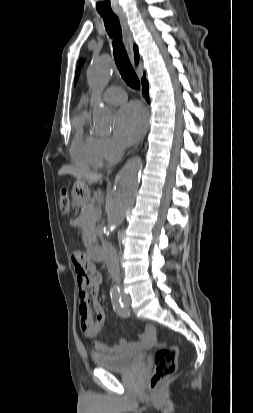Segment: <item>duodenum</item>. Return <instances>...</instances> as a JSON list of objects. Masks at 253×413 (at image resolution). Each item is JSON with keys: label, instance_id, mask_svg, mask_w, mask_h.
I'll return each instance as SVG.
<instances>
[{"label": "duodenum", "instance_id": "duodenum-1", "mask_svg": "<svg viewBox=\"0 0 253 413\" xmlns=\"http://www.w3.org/2000/svg\"><path fill=\"white\" fill-rule=\"evenodd\" d=\"M90 257L95 261H102L104 259V253L101 247L91 246L88 249Z\"/></svg>", "mask_w": 253, "mask_h": 413}]
</instances>
